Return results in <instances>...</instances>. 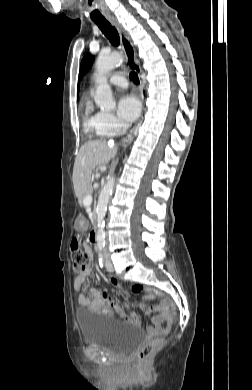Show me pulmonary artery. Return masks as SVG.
<instances>
[{
    "mask_svg": "<svg viewBox=\"0 0 252 390\" xmlns=\"http://www.w3.org/2000/svg\"><path fill=\"white\" fill-rule=\"evenodd\" d=\"M109 83L114 87H121V88H126L128 85L126 78L118 73L110 77Z\"/></svg>",
    "mask_w": 252,
    "mask_h": 390,
    "instance_id": "obj_1",
    "label": "pulmonary artery"
}]
</instances>
